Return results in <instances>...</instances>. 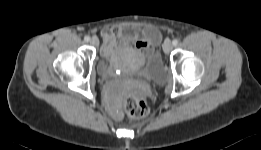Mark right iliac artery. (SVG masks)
<instances>
[{
  "mask_svg": "<svg viewBox=\"0 0 261 150\" xmlns=\"http://www.w3.org/2000/svg\"><path fill=\"white\" fill-rule=\"evenodd\" d=\"M84 40H85L86 42H88V41L90 40V37H89V36H85V37H84Z\"/></svg>",
  "mask_w": 261,
  "mask_h": 150,
  "instance_id": "82829eb1",
  "label": "right iliac artery"
}]
</instances>
